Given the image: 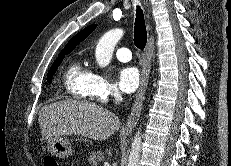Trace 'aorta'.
I'll return each instance as SVG.
<instances>
[{"label": "aorta", "instance_id": "762f6f07", "mask_svg": "<svg viewBox=\"0 0 231 166\" xmlns=\"http://www.w3.org/2000/svg\"><path fill=\"white\" fill-rule=\"evenodd\" d=\"M123 33L122 29H113L101 37L95 50L96 62L100 67H106L110 63L114 48L118 41L122 38ZM140 152L141 133L138 130L131 145L127 166H139Z\"/></svg>", "mask_w": 231, "mask_h": 166}]
</instances>
